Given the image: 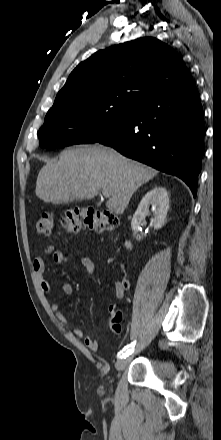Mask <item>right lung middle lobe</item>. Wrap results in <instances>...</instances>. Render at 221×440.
<instances>
[{
  "mask_svg": "<svg viewBox=\"0 0 221 440\" xmlns=\"http://www.w3.org/2000/svg\"><path fill=\"white\" fill-rule=\"evenodd\" d=\"M133 110L116 103L74 104L49 110L38 132L39 145L54 149L98 142L121 127Z\"/></svg>",
  "mask_w": 221,
  "mask_h": 440,
  "instance_id": "1",
  "label": "right lung middle lobe"
}]
</instances>
